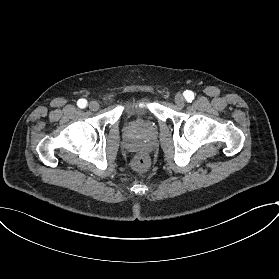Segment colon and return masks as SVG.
<instances>
[{
    "mask_svg": "<svg viewBox=\"0 0 279 279\" xmlns=\"http://www.w3.org/2000/svg\"><path fill=\"white\" fill-rule=\"evenodd\" d=\"M150 167V160L144 154H137L131 160V168L137 173H144Z\"/></svg>",
    "mask_w": 279,
    "mask_h": 279,
    "instance_id": "obj_1",
    "label": "colon"
}]
</instances>
